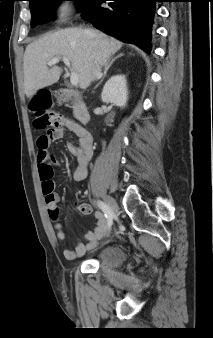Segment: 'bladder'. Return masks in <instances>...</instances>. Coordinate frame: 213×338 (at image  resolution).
I'll list each match as a JSON object with an SVG mask.
<instances>
[{"label": "bladder", "instance_id": "1", "mask_svg": "<svg viewBox=\"0 0 213 338\" xmlns=\"http://www.w3.org/2000/svg\"><path fill=\"white\" fill-rule=\"evenodd\" d=\"M94 262L101 268L115 270L124 263V253L117 244H106L96 254Z\"/></svg>", "mask_w": 213, "mask_h": 338}]
</instances>
